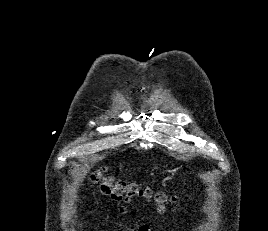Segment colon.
Segmentation results:
<instances>
[{"mask_svg":"<svg viewBox=\"0 0 268 231\" xmlns=\"http://www.w3.org/2000/svg\"><path fill=\"white\" fill-rule=\"evenodd\" d=\"M93 182L100 185L102 191L114 200L127 203L135 199H148L157 202L160 210L168 205H175L176 196H168L162 192H153L150 188L141 187L136 183L117 180L107 174L104 168H96L91 172Z\"/></svg>","mask_w":268,"mask_h":231,"instance_id":"5ec220e1","label":"colon"}]
</instances>
